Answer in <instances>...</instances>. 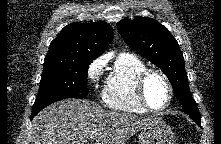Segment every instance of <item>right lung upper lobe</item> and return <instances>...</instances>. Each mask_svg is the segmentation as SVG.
<instances>
[{"mask_svg": "<svg viewBox=\"0 0 221 144\" xmlns=\"http://www.w3.org/2000/svg\"><path fill=\"white\" fill-rule=\"evenodd\" d=\"M112 39L113 29L107 23L69 24L51 42L45 62H92Z\"/></svg>", "mask_w": 221, "mask_h": 144, "instance_id": "cb5924a9", "label": "right lung upper lobe"}]
</instances>
